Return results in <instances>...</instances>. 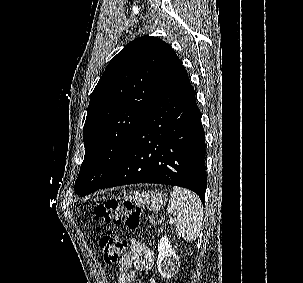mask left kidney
Returning a JSON list of instances; mask_svg holds the SVG:
<instances>
[{
  "mask_svg": "<svg viewBox=\"0 0 303 283\" xmlns=\"http://www.w3.org/2000/svg\"><path fill=\"white\" fill-rule=\"evenodd\" d=\"M158 271L164 278H171L179 266V257L172 248L171 242L164 236L158 243Z\"/></svg>",
  "mask_w": 303,
  "mask_h": 283,
  "instance_id": "1",
  "label": "left kidney"
}]
</instances>
